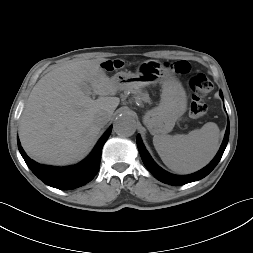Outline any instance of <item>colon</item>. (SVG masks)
I'll use <instances>...</instances> for the list:
<instances>
[{
  "label": "colon",
  "mask_w": 253,
  "mask_h": 253,
  "mask_svg": "<svg viewBox=\"0 0 253 253\" xmlns=\"http://www.w3.org/2000/svg\"><path fill=\"white\" fill-rule=\"evenodd\" d=\"M124 62L120 60L110 61L105 65L108 70L122 68ZM171 68L179 74H186L190 71V65L187 61H177L171 65ZM190 88L193 91L192 101L189 107V115L193 119L202 118L207 112V105L203 97L212 90V83L204 74H196L189 81Z\"/></svg>",
  "instance_id": "obj_1"
}]
</instances>
